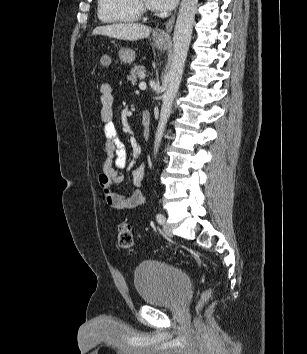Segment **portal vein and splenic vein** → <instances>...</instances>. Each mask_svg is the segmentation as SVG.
<instances>
[{
  "mask_svg": "<svg viewBox=\"0 0 307 354\" xmlns=\"http://www.w3.org/2000/svg\"><path fill=\"white\" fill-rule=\"evenodd\" d=\"M139 88L141 89V90H144V89H146V83L145 82H140L139 83Z\"/></svg>",
  "mask_w": 307,
  "mask_h": 354,
  "instance_id": "1",
  "label": "portal vein and splenic vein"
}]
</instances>
